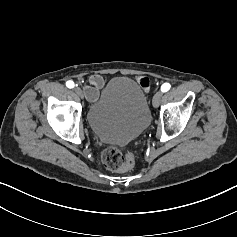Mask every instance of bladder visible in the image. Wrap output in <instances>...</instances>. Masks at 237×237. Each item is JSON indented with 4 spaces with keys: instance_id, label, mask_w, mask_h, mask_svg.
<instances>
[{
    "instance_id": "1",
    "label": "bladder",
    "mask_w": 237,
    "mask_h": 237,
    "mask_svg": "<svg viewBox=\"0 0 237 237\" xmlns=\"http://www.w3.org/2000/svg\"><path fill=\"white\" fill-rule=\"evenodd\" d=\"M151 120L148 98L128 77L113 78L87 112L93 133L103 142L123 145L138 137Z\"/></svg>"
}]
</instances>
